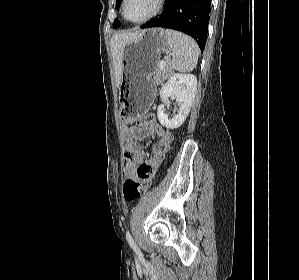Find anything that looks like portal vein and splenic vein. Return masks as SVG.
<instances>
[{
	"label": "portal vein and splenic vein",
	"mask_w": 299,
	"mask_h": 280,
	"mask_svg": "<svg viewBox=\"0 0 299 280\" xmlns=\"http://www.w3.org/2000/svg\"><path fill=\"white\" fill-rule=\"evenodd\" d=\"M165 68V62L162 60L160 62V69H164Z\"/></svg>",
	"instance_id": "1"
}]
</instances>
